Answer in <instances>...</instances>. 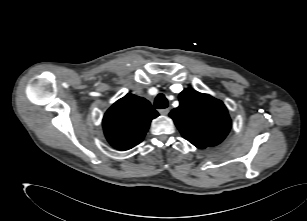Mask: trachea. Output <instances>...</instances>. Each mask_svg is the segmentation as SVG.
<instances>
[{"label": "trachea", "instance_id": "trachea-1", "mask_svg": "<svg viewBox=\"0 0 307 221\" xmlns=\"http://www.w3.org/2000/svg\"><path fill=\"white\" fill-rule=\"evenodd\" d=\"M154 106L157 109H165L168 107V101L164 94L160 93L157 95V97L155 98Z\"/></svg>", "mask_w": 307, "mask_h": 221}]
</instances>
